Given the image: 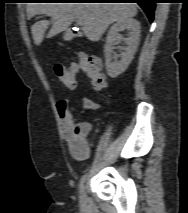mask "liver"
<instances>
[{
  "label": "liver",
  "instance_id": "6515ba94",
  "mask_svg": "<svg viewBox=\"0 0 188 213\" xmlns=\"http://www.w3.org/2000/svg\"><path fill=\"white\" fill-rule=\"evenodd\" d=\"M38 14L51 17V21L42 20L31 27L35 45H40L50 24L47 37L51 38L69 28L73 21L81 20L86 37L99 41L108 26L115 21L132 18L137 15L135 3H28L27 17Z\"/></svg>",
  "mask_w": 188,
  "mask_h": 213
}]
</instances>
